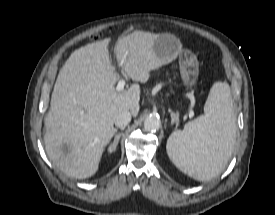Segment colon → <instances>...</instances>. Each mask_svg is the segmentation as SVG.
I'll use <instances>...</instances> for the list:
<instances>
[{
	"mask_svg": "<svg viewBox=\"0 0 275 215\" xmlns=\"http://www.w3.org/2000/svg\"><path fill=\"white\" fill-rule=\"evenodd\" d=\"M99 35L98 34H93L92 38H97Z\"/></svg>",
	"mask_w": 275,
	"mask_h": 215,
	"instance_id": "5ec220e1",
	"label": "colon"
}]
</instances>
